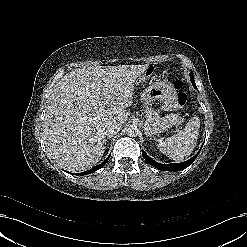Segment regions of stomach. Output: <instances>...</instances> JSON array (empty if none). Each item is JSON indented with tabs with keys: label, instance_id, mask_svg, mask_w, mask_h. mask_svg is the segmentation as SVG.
Wrapping results in <instances>:
<instances>
[{
	"label": "stomach",
	"instance_id": "0dacf381",
	"mask_svg": "<svg viewBox=\"0 0 247 247\" xmlns=\"http://www.w3.org/2000/svg\"><path fill=\"white\" fill-rule=\"evenodd\" d=\"M143 76L139 77V81H143ZM142 98L146 102L158 101L162 104L165 111H173L179 107L177 102V92L173 85L167 81L152 82L143 92ZM158 131H151L155 135Z\"/></svg>",
	"mask_w": 247,
	"mask_h": 247
}]
</instances>
